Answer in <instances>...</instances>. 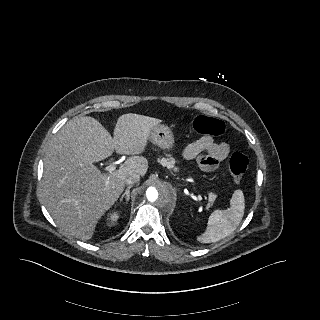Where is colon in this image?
<instances>
[{
  "instance_id": "1",
  "label": "colon",
  "mask_w": 320,
  "mask_h": 320,
  "mask_svg": "<svg viewBox=\"0 0 320 320\" xmlns=\"http://www.w3.org/2000/svg\"><path fill=\"white\" fill-rule=\"evenodd\" d=\"M192 126L197 132L210 136H219L225 130L224 123L220 119L204 115L194 118ZM248 165V157L243 153L235 152L231 155L228 167L234 181L239 182L243 178Z\"/></svg>"
}]
</instances>
